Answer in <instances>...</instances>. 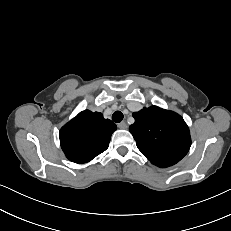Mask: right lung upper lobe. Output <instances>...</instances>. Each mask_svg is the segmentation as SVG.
Masks as SVG:
<instances>
[{"label": "right lung upper lobe", "mask_w": 231, "mask_h": 231, "mask_svg": "<svg viewBox=\"0 0 231 231\" xmlns=\"http://www.w3.org/2000/svg\"><path fill=\"white\" fill-rule=\"evenodd\" d=\"M116 129L101 113L84 110L61 128L62 150L72 162H89L108 148Z\"/></svg>", "instance_id": "obj_1"}]
</instances>
